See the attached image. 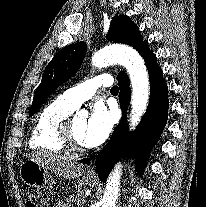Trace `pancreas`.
<instances>
[{
  "label": "pancreas",
  "instance_id": "cf45deb5",
  "mask_svg": "<svg viewBox=\"0 0 206 207\" xmlns=\"http://www.w3.org/2000/svg\"><path fill=\"white\" fill-rule=\"evenodd\" d=\"M81 193L72 194L70 198L66 200V203L58 202L54 207H74V205H81L83 202L81 201L80 197ZM78 195V197L76 196Z\"/></svg>",
  "mask_w": 206,
  "mask_h": 207
}]
</instances>
